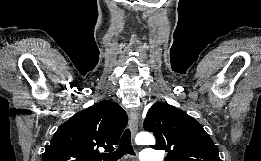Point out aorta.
I'll return each mask as SVG.
<instances>
[{
	"label": "aorta",
	"mask_w": 261,
	"mask_h": 161,
	"mask_svg": "<svg viewBox=\"0 0 261 161\" xmlns=\"http://www.w3.org/2000/svg\"><path fill=\"white\" fill-rule=\"evenodd\" d=\"M135 141L138 145H153L155 143L153 135L148 132L139 133Z\"/></svg>",
	"instance_id": "obj_1"
}]
</instances>
